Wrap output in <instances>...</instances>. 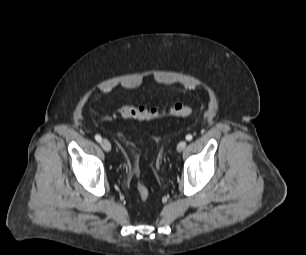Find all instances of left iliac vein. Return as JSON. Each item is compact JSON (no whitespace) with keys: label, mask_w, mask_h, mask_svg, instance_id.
Instances as JSON below:
<instances>
[{"label":"left iliac vein","mask_w":306,"mask_h":255,"mask_svg":"<svg viewBox=\"0 0 306 255\" xmlns=\"http://www.w3.org/2000/svg\"><path fill=\"white\" fill-rule=\"evenodd\" d=\"M186 145H187V142L185 140L179 142L177 145V151L182 152L185 149Z\"/></svg>","instance_id":"1"}]
</instances>
